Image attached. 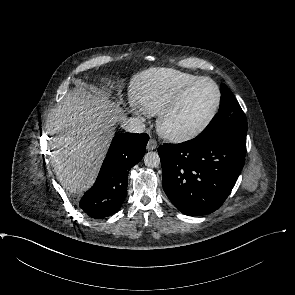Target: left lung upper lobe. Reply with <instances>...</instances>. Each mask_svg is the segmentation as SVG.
Here are the masks:
<instances>
[{
	"label": "left lung upper lobe",
	"instance_id": "left-lung-upper-lobe-1",
	"mask_svg": "<svg viewBox=\"0 0 295 295\" xmlns=\"http://www.w3.org/2000/svg\"><path fill=\"white\" fill-rule=\"evenodd\" d=\"M220 90L222 96L219 112L196 138L226 135L246 142L247 121L245 114L233 93L225 84H221Z\"/></svg>",
	"mask_w": 295,
	"mask_h": 295
}]
</instances>
